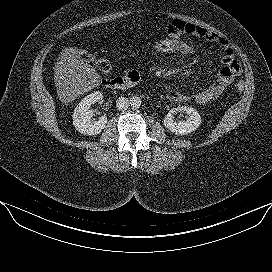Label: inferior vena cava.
<instances>
[{
	"mask_svg": "<svg viewBox=\"0 0 272 272\" xmlns=\"http://www.w3.org/2000/svg\"><path fill=\"white\" fill-rule=\"evenodd\" d=\"M130 106L129 99L126 97H119L116 100V107L119 111H125Z\"/></svg>",
	"mask_w": 272,
	"mask_h": 272,
	"instance_id": "1",
	"label": "inferior vena cava"
}]
</instances>
